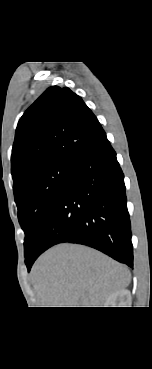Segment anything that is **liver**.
Instances as JSON below:
<instances>
[{"label": "liver", "instance_id": "1", "mask_svg": "<svg viewBox=\"0 0 152 369\" xmlns=\"http://www.w3.org/2000/svg\"><path fill=\"white\" fill-rule=\"evenodd\" d=\"M43 307H99L131 279L128 268L92 248L60 244L46 251L31 270Z\"/></svg>", "mask_w": 152, "mask_h": 369}]
</instances>
